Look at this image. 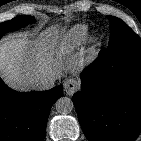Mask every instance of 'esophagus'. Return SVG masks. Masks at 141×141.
I'll use <instances>...</instances> for the list:
<instances>
[{
	"label": "esophagus",
	"mask_w": 141,
	"mask_h": 141,
	"mask_svg": "<svg viewBox=\"0 0 141 141\" xmlns=\"http://www.w3.org/2000/svg\"><path fill=\"white\" fill-rule=\"evenodd\" d=\"M78 85L79 81L77 79L70 78L64 83V91L68 95H73L77 91Z\"/></svg>",
	"instance_id": "obj_1"
}]
</instances>
